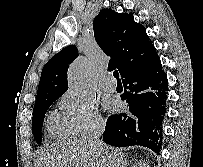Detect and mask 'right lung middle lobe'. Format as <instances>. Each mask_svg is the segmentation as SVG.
I'll list each match as a JSON object with an SVG mask.
<instances>
[{
  "label": "right lung middle lobe",
  "instance_id": "obj_1",
  "mask_svg": "<svg viewBox=\"0 0 203 167\" xmlns=\"http://www.w3.org/2000/svg\"><path fill=\"white\" fill-rule=\"evenodd\" d=\"M59 97H53L46 99L42 102L37 103L34 106L33 110V118H32V133L34 135V138L38 144L42 142V126H43V120L44 115L48 108L51 106V104L56 101Z\"/></svg>",
  "mask_w": 203,
  "mask_h": 167
}]
</instances>
